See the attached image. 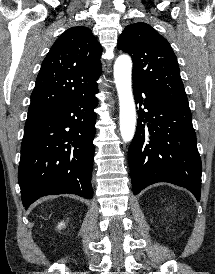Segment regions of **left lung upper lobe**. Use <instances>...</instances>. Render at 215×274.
Returning <instances> with one entry per match:
<instances>
[{
	"label": "left lung upper lobe",
	"mask_w": 215,
	"mask_h": 274,
	"mask_svg": "<svg viewBox=\"0 0 215 274\" xmlns=\"http://www.w3.org/2000/svg\"><path fill=\"white\" fill-rule=\"evenodd\" d=\"M118 49L132 57L133 82L188 104L176 56L169 42L149 24L128 25L118 39Z\"/></svg>",
	"instance_id": "left-lung-upper-lobe-1"
}]
</instances>
